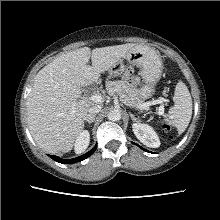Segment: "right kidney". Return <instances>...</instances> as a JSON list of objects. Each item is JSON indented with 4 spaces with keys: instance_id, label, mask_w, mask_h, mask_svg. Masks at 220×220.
<instances>
[{
    "instance_id": "1",
    "label": "right kidney",
    "mask_w": 220,
    "mask_h": 220,
    "mask_svg": "<svg viewBox=\"0 0 220 220\" xmlns=\"http://www.w3.org/2000/svg\"><path fill=\"white\" fill-rule=\"evenodd\" d=\"M90 141V134L87 130L82 131L80 135L77 137L76 142H75V152L77 154H80L84 152Z\"/></svg>"
}]
</instances>
